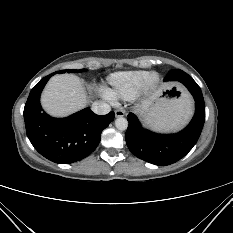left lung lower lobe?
Instances as JSON below:
<instances>
[{
    "label": "left lung lower lobe",
    "instance_id": "obj_1",
    "mask_svg": "<svg viewBox=\"0 0 233 233\" xmlns=\"http://www.w3.org/2000/svg\"><path fill=\"white\" fill-rule=\"evenodd\" d=\"M164 81H178L193 95L196 110L189 125L175 134H158L144 129L138 118L129 113L126 143L136 157L149 163L166 166L183 158L196 144L205 121V103L200 87L184 71L171 70Z\"/></svg>",
    "mask_w": 233,
    "mask_h": 233
}]
</instances>
